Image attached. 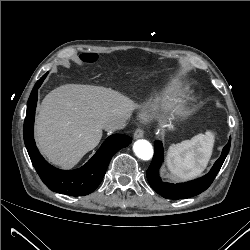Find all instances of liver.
<instances>
[{
  "mask_svg": "<svg viewBox=\"0 0 250 250\" xmlns=\"http://www.w3.org/2000/svg\"><path fill=\"white\" fill-rule=\"evenodd\" d=\"M134 103L110 88L66 84L43 99L36 117L37 145L53 164L70 168L101 140L105 122L129 117Z\"/></svg>",
  "mask_w": 250,
  "mask_h": 250,
  "instance_id": "1",
  "label": "liver"
}]
</instances>
